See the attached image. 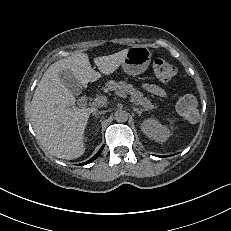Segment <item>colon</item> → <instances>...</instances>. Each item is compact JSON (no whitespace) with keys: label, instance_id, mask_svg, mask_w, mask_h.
I'll return each instance as SVG.
<instances>
[{"label":"colon","instance_id":"obj_1","mask_svg":"<svg viewBox=\"0 0 231 231\" xmlns=\"http://www.w3.org/2000/svg\"><path fill=\"white\" fill-rule=\"evenodd\" d=\"M153 71L158 80L168 82L177 74V67L163 59H156L153 63ZM177 112L185 119L194 121L198 117L197 101L191 94H183L178 97Z\"/></svg>","mask_w":231,"mask_h":231}]
</instances>
